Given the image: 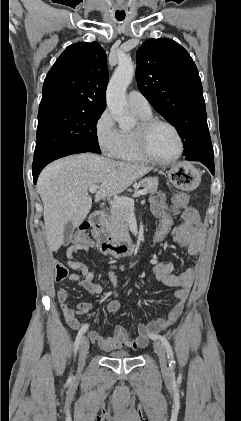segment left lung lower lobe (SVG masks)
<instances>
[{
    "label": "left lung lower lobe",
    "instance_id": "1",
    "mask_svg": "<svg viewBox=\"0 0 241 421\" xmlns=\"http://www.w3.org/2000/svg\"><path fill=\"white\" fill-rule=\"evenodd\" d=\"M195 161H200L201 163H203L206 167H208V169L211 171L212 174H214L215 172V167H214V159L213 158H195Z\"/></svg>",
    "mask_w": 241,
    "mask_h": 421
}]
</instances>
